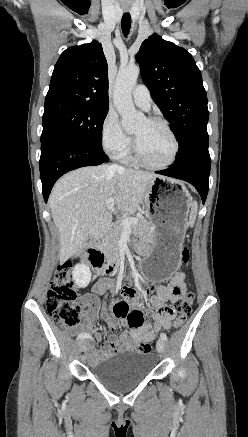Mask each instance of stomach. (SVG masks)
I'll use <instances>...</instances> for the list:
<instances>
[{
  "instance_id": "stomach-1",
  "label": "stomach",
  "mask_w": 248,
  "mask_h": 437,
  "mask_svg": "<svg viewBox=\"0 0 248 437\" xmlns=\"http://www.w3.org/2000/svg\"><path fill=\"white\" fill-rule=\"evenodd\" d=\"M146 210L152 227L150 253L139 262V271H147L151 286H164L165 279L179 266L190 196L186 187L166 178H155L147 193Z\"/></svg>"
}]
</instances>
